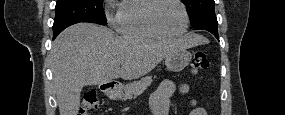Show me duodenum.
Here are the masks:
<instances>
[{"label":"duodenum","mask_w":285,"mask_h":115,"mask_svg":"<svg viewBox=\"0 0 285 115\" xmlns=\"http://www.w3.org/2000/svg\"><path fill=\"white\" fill-rule=\"evenodd\" d=\"M117 88V84L116 83H106L102 86V90L105 92V93H110L111 91H113L114 89Z\"/></svg>","instance_id":"duodenum-1"}]
</instances>
